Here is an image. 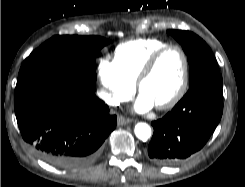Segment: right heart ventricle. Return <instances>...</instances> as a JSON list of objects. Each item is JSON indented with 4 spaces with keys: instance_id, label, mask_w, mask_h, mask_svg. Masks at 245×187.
Instances as JSON below:
<instances>
[{
    "instance_id": "right-heart-ventricle-1",
    "label": "right heart ventricle",
    "mask_w": 245,
    "mask_h": 187,
    "mask_svg": "<svg viewBox=\"0 0 245 187\" xmlns=\"http://www.w3.org/2000/svg\"><path fill=\"white\" fill-rule=\"evenodd\" d=\"M169 45L157 38H139L119 44L114 51V62L123 75L133 84L136 83L139 72L160 48Z\"/></svg>"
}]
</instances>
